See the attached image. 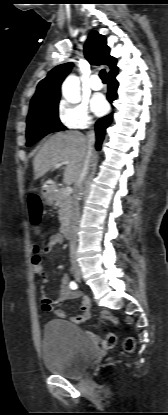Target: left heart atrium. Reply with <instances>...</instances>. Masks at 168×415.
I'll list each match as a JSON object with an SVG mask.
<instances>
[{
  "mask_svg": "<svg viewBox=\"0 0 168 415\" xmlns=\"http://www.w3.org/2000/svg\"><path fill=\"white\" fill-rule=\"evenodd\" d=\"M91 107L96 115L101 116L107 112L108 103L102 95L98 94L92 98Z\"/></svg>",
  "mask_w": 168,
  "mask_h": 415,
  "instance_id": "obj_1",
  "label": "left heart atrium"
}]
</instances>
